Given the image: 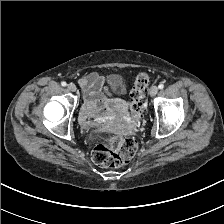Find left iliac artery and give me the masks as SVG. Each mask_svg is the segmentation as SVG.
I'll list each match as a JSON object with an SVG mask.
<instances>
[{
    "label": "left iliac artery",
    "mask_w": 224,
    "mask_h": 224,
    "mask_svg": "<svg viewBox=\"0 0 224 224\" xmlns=\"http://www.w3.org/2000/svg\"><path fill=\"white\" fill-rule=\"evenodd\" d=\"M159 89H163L164 88V84L160 83L158 86Z\"/></svg>",
    "instance_id": "44dca946"
}]
</instances>
